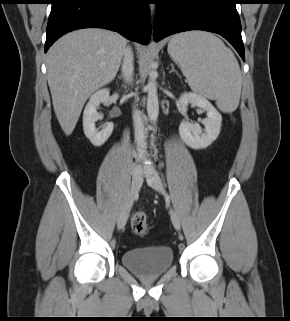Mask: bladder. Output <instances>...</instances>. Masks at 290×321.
<instances>
[{
    "label": "bladder",
    "instance_id": "1",
    "mask_svg": "<svg viewBox=\"0 0 290 321\" xmlns=\"http://www.w3.org/2000/svg\"><path fill=\"white\" fill-rule=\"evenodd\" d=\"M173 260V251L167 247H144L122 253L124 266L144 278L162 275L172 266Z\"/></svg>",
    "mask_w": 290,
    "mask_h": 321
}]
</instances>
